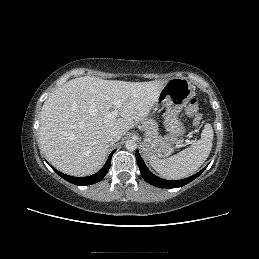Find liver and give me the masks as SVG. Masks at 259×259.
<instances>
[{
  "instance_id": "1",
  "label": "liver",
  "mask_w": 259,
  "mask_h": 259,
  "mask_svg": "<svg viewBox=\"0 0 259 259\" xmlns=\"http://www.w3.org/2000/svg\"><path fill=\"white\" fill-rule=\"evenodd\" d=\"M166 81L126 82L97 77L72 79L54 90L42 107L39 143L48 161L73 176L96 173L104 164L111 131L125 135L147 118ZM123 104L108 119L113 101Z\"/></svg>"
}]
</instances>
